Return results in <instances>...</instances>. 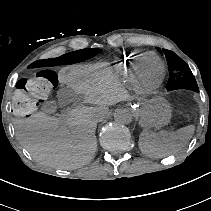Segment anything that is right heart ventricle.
<instances>
[{"label": "right heart ventricle", "instance_id": "e07e8e85", "mask_svg": "<svg viewBox=\"0 0 211 211\" xmlns=\"http://www.w3.org/2000/svg\"><path fill=\"white\" fill-rule=\"evenodd\" d=\"M146 59L147 54L144 51L129 53L123 56V58L119 59V70L122 76H124L125 80H134L136 71L138 70L139 66L145 64Z\"/></svg>", "mask_w": 211, "mask_h": 211}]
</instances>
